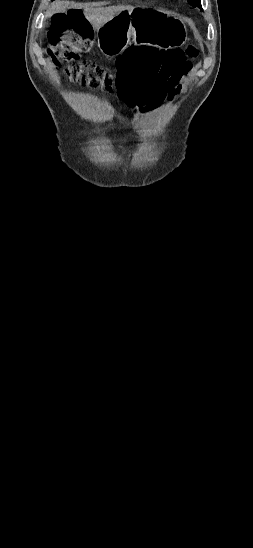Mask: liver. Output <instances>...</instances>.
Here are the masks:
<instances>
[{
  "instance_id": "6515ba94",
  "label": "liver",
  "mask_w": 253,
  "mask_h": 548,
  "mask_svg": "<svg viewBox=\"0 0 253 548\" xmlns=\"http://www.w3.org/2000/svg\"><path fill=\"white\" fill-rule=\"evenodd\" d=\"M84 9L85 18L94 29H99L122 11L134 9L131 6L91 7L88 4L76 3L69 0H55L48 8V16L55 13H63L67 9Z\"/></svg>"
}]
</instances>
